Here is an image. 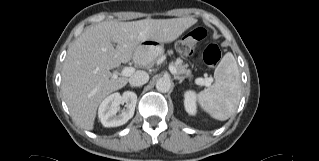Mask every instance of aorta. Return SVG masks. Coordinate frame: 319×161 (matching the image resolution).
Returning a JSON list of instances; mask_svg holds the SVG:
<instances>
[{"instance_id": "aorta-1", "label": "aorta", "mask_w": 319, "mask_h": 161, "mask_svg": "<svg viewBox=\"0 0 319 161\" xmlns=\"http://www.w3.org/2000/svg\"><path fill=\"white\" fill-rule=\"evenodd\" d=\"M171 88V81L168 78H160L156 82V89L159 92L166 93Z\"/></svg>"}]
</instances>
